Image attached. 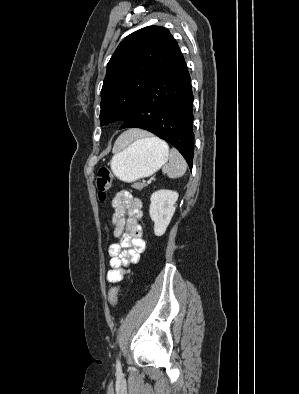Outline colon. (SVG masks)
I'll return each instance as SVG.
<instances>
[{
  "label": "colon",
  "mask_w": 299,
  "mask_h": 394,
  "mask_svg": "<svg viewBox=\"0 0 299 394\" xmlns=\"http://www.w3.org/2000/svg\"><path fill=\"white\" fill-rule=\"evenodd\" d=\"M113 182V175L108 168H101L98 171L96 178V186L98 189V196L101 201H104L107 197V191L111 187ZM119 285L115 284L112 286L109 292V302L112 307L117 305Z\"/></svg>",
  "instance_id": "colon-1"
}]
</instances>
